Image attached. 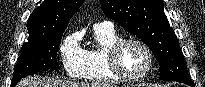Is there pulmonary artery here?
Segmentation results:
<instances>
[{"label": "pulmonary artery", "mask_w": 205, "mask_h": 87, "mask_svg": "<svg viewBox=\"0 0 205 87\" xmlns=\"http://www.w3.org/2000/svg\"><path fill=\"white\" fill-rule=\"evenodd\" d=\"M98 26V27H106V28H112V24L110 22H102V23H99L97 25H95V27Z\"/></svg>", "instance_id": "obj_1"}]
</instances>
